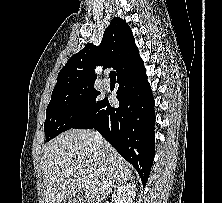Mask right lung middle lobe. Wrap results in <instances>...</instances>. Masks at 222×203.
<instances>
[{"label": "right lung middle lobe", "instance_id": "dd1d6c3e", "mask_svg": "<svg viewBox=\"0 0 222 203\" xmlns=\"http://www.w3.org/2000/svg\"><path fill=\"white\" fill-rule=\"evenodd\" d=\"M99 94L93 85L52 92L44 123L46 142L87 118L102 103Z\"/></svg>", "mask_w": 222, "mask_h": 203}]
</instances>
